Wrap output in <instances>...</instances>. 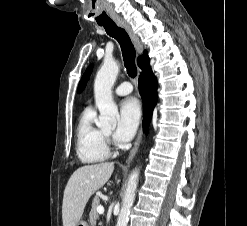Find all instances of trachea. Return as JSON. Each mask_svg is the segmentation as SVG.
<instances>
[{"instance_id":"3493384b","label":"trachea","mask_w":247,"mask_h":226,"mask_svg":"<svg viewBox=\"0 0 247 226\" xmlns=\"http://www.w3.org/2000/svg\"><path fill=\"white\" fill-rule=\"evenodd\" d=\"M103 26L106 33L115 38L120 44L122 55L124 59V65L127 69V73L131 78H135L137 75V68L135 66V48L131 42V39L125 29L118 27L113 21L108 23L99 24Z\"/></svg>"}]
</instances>
